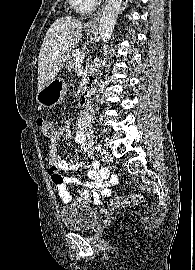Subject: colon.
Returning a JSON list of instances; mask_svg holds the SVG:
<instances>
[{
    "mask_svg": "<svg viewBox=\"0 0 195 270\" xmlns=\"http://www.w3.org/2000/svg\"><path fill=\"white\" fill-rule=\"evenodd\" d=\"M37 125L39 126V128L44 136L50 137L54 133V124L48 118L38 117L37 118ZM140 199H141V196L138 194L119 197L115 200H112L111 205L114 207H122V206H126L129 204L137 203L140 201Z\"/></svg>",
    "mask_w": 195,
    "mask_h": 270,
    "instance_id": "colon-1",
    "label": "colon"
}]
</instances>
